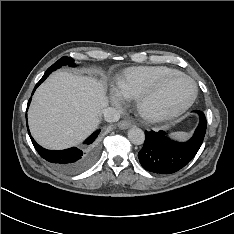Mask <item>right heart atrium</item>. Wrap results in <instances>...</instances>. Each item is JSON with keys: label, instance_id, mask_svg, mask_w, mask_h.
<instances>
[{"label": "right heart atrium", "instance_id": "right-heart-atrium-1", "mask_svg": "<svg viewBox=\"0 0 234 234\" xmlns=\"http://www.w3.org/2000/svg\"><path fill=\"white\" fill-rule=\"evenodd\" d=\"M112 101L115 105L121 106L123 104V97L117 91L112 92Z\"/></svg>", "mask_w": 234, "mask_h": 234}]
</instances>
